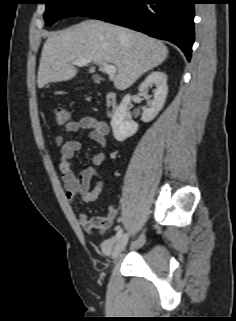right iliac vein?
I'll return each mask as SVG.
<instances>
[{
	"label": "right iliac vein",
	"instance_id": "63e3f726",
	"mask_svg": "<svg viewBox=\"0 0 236 321\" xmlns=\"http://www.w3.org/2000/svg\"><path fill=\"white\" fill-rule=\"evenodd\" d=\"M127 242H128V235L127 234H124L122 235L116 245L114 246V249L111 253V257L113 259L117 258L119 256V254L123 251V249L126 247L127 245Z\"/></svg>",
	"mask_w": 236,
	"mask_h": 321
}]
</instances>
